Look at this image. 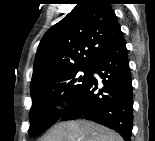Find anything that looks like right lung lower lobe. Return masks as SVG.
Wrapping results in <instances>:
<instances>
[{"instance_id": "1", "label": "right lung lower lobe", "mask_w": 155, "mask_h": 141, "mask_svg": "<svg viewBox=\"0 0 155 141\" xmlns=\"http://www.w3.org/2000/svg\"><path fill=\"white\" fill-rule=\"evenodd\" d=\"M92 72L102 78L103 87L91 75L78 98L61 120L85 117L116 130L130 140L133 127V93L126 43L122 32L104 50Z\"/></svg>"}]
</instances>
